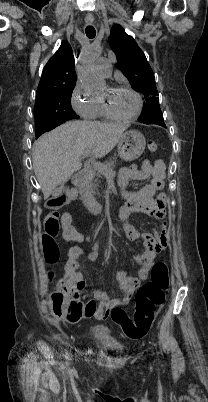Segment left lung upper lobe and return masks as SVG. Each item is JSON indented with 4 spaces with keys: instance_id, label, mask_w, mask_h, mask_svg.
Wrapping results in <instances>:
<instances>
[{
    "instance_id": "5c2ea615",
    "label": "left lung upper lobe",
    "mask_w": 208,
    "mask_h": 402,
    "mask_svg": "<svg viewBox=\"0 0 208 402\" xmlns=\"http://www.w3.org/2000/svg\"><path fill=\"white\" fill-rule=\"evenodd\" d=\"M109 40L110 46L116 54L118 67L126 75L133 88L143 93L146 98L145 111L139 117V121L144 124L165 127L157 97L155 77L145 54L120 25L112 28Z\"/></svg>"
}]
</instances>
